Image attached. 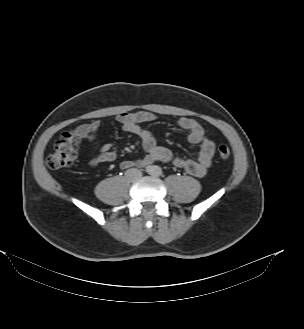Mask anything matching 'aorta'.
Segmentation results:
<instances>
[{"label":"aorta","instance_id":"obj_1","mask_svg":"<svg viewBox=\"0 0 304 329\" xmlns=\"http://www.w3.org/2000/svg\"><path fill=\"white\" fill-rule=\"evenodd\" d=\"M161 172V168L158 167V166H155L154 169H153V173L154 174H159Z\"/></svg>","mask_w":304,"mask_h":329}]
</instances>
